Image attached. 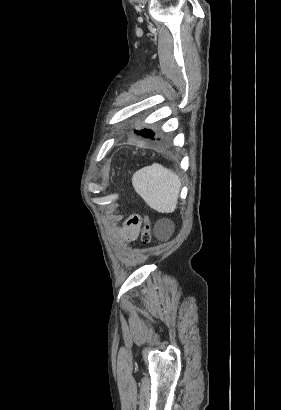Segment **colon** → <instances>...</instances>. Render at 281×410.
<instances>
[{
    "mask_svg": "<svg viewBox=\"0 0 281 410\" xmlns=\"http://www.w3.org/2000/svg\"><path fill=\"white\" fill-rule=\"evenodd\" d=\"M130 222L136 223L140 226V239L143 244H148L151 239L148 217L146 215H133L130 217Z\"/></svg>",
    "mask_w": 281,
    "mask_h": 410,
    "instance_id": "5ec220e1",
    "label": "colon"
}]
</instances>
